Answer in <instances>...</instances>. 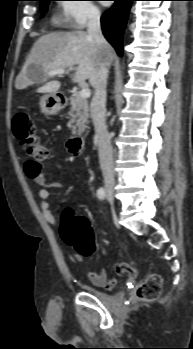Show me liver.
<instances>
[{"instance_id": "1", "label": "liver", "mask_w": 193, "mask_h": 349, "mask_svg": "<svg viewBox=\"0 0 193 349\" xmlns=\"http://www.w3.org/2000/svg\"><path fill=\"white\" fill-rule=\"evenodd\" d=\"M113 59V48L106 43L97 45L85 31L52 32L43 35L32 47L17 79V89H24L40 80L32 73L33 67L41 71L42 76H49L51 71L68 69L76 65L72 81L84 83L89 81L94 86L101 64L108 66ZM61 83L52 80L37 89L38 93H56Z\"/></svg>"}]
</instances>
